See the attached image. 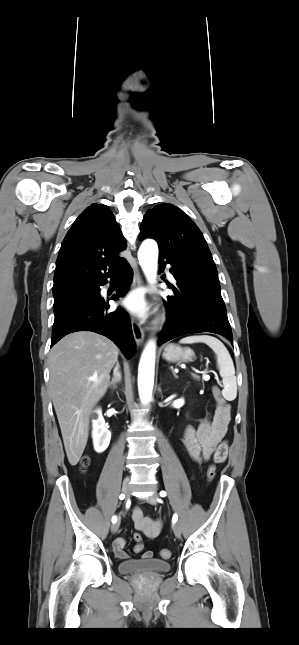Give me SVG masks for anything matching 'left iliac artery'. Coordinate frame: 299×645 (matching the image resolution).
Segmentation results:
<instances>
[{
	"label": "left iliac artery",
	"instance_id": "44dca946",
	"mask_svg": "<svg viewBox=\"0 0 299 645\" xmlns=\"http://www.w3.org/2000/svg\"><path fill=\"white\" fill-rule=\"evenodd\" d=\"M160 496H161V497H165V496H166V492H165V491H160ZM177 520H178V515H177V514H174V515H173V517H172V522H173V523H175Z\"/></svg>",
	"mask_w": 299,
	"mask_h": 645
}]
</instances>
